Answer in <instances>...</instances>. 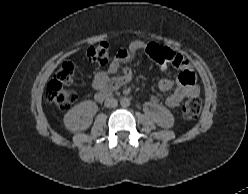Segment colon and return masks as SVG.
<instances>
[{"label":"colon","mask_w":248,"mask_h":194,"mask_svg":"<svg viewBox=\"0 0 248 194\" xmlns=\"http://www.w3.org/2000/svg\"><path fill=\"white\" fill-rule=\"evenodd\" d=\"M148 52L151 58L158 64L173 62L175 54L168 48L149 45ZM88 58L100 66L111 64L112 58L108 45L104 42L92 45L88 49ZM75 77V63L65 61L57 70L54 78L48 83L46 89L47 100L58 109L64 110L75 103L76 92L68 87ZM201 100L198 97H191L183 107L182 113L186 119H195L201 111Z\"/></svg>","instance_id":"colon-1"}]
</instances>
